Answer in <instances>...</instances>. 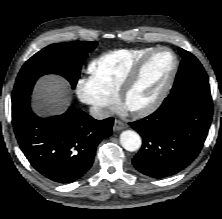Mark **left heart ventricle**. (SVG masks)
Here are the masks:
<instances>
[{
    "label": "left heart ventricle",
    "mask_w": 222,
    "mask_h": 219,
    "mask_svg": "<svg viewBox=\"0 0 222 219\" xmlns=\"http://www.w3.org/2000/svg\"><path fill=\"white\" fill-rule=\"evenodd\" d=\"M172 66L173 57L168 52H160L151 57L139 82L128 96V106L139 108L152 102L160 92Z\"/></svg>",
    "instance_id": "1"
}]
</instances>
